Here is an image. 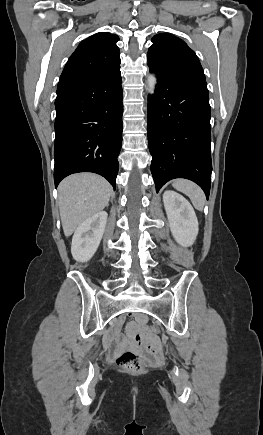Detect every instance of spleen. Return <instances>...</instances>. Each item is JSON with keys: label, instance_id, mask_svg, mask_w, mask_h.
Returning <instances> with one entry per match:
<instances>
[{"label": "spleen", "instance_id": "spleen-1", "mask_svg": "<svg viewBox=\"0 0 263 435\" xmlns=\"http://www.w3.org/2000/svg\"><path fill=\"white\" fill-rule=\"evenodd\" d=\"M172 185L176 190L187 195L197 210H203L205 195L203 190L197 184L189 180L177 179L173 181Z\"/></svg>", "mask_w": 263, "mask_h": 435}]
</instances>
